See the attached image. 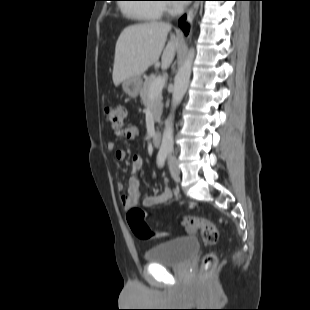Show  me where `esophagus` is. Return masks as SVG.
I'll return each instance as SVG.
<instances>
[{
  "label": "esophagus",
  "instance_id": "34e87169",
  "mask_svg": "<svg viewBox=\"0 0 310 310\" xmlns=\"http://www.w3.org/2000/svg\"><path fill=\"white\" fill-rule=\"evenodd\" d=\"M198 8H199V4L198 3H194V5L190 8L188 14H187V22L189 24H192L196 14H197V11H198ZM179 33H182V30H178Z\"/></svg>",
  "mask_w": 310,
  "mask_h": 310
}]
</instances>
